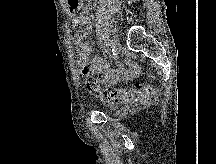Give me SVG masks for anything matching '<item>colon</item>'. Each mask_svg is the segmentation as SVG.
I'll list each match as a JSON object with an SVG mask.
<instances>
[{
    "instance_id": "obj_1",
    "label": "colon",
    "mask_w": 216,
    "mask_h": 164,
    "mask_svg": "<svg viewBox=\"0 0 216 164\" xmlns=\"http://www.w3.org/2000/svg\"><path fill=\"white\" fill-rule=\"evenodd\" d=\"M85 84L90 93L97 95L102 102L117 105L131 101L136 94L143 104L149 103L155 95V88L151 84L137 83L135 89L109 87L102 89L98 79L83 69Z\"/></svg>"
}]
</instances>
